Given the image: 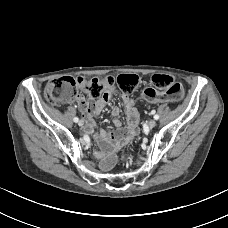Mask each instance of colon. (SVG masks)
Returning a JSON list of instances; mask_svg holds the SVG:
<instances>
[{
	"mask_svg": "<svg viewBox=\"0 0 228 228\" xmlns=\"http://www.w3.org/2000/svg\"><path fill=\"white\" fill-rule=\"evenodd\" d=\"M138 76L135 74H121L117 77V84L124 94L132 93L138 85ZM154 88H147L142 93V99L147 102H177L183 97V87L177 83L171 75L156 74L151 79ZM114 79L81 77H61L53 79L46 85L45 99L53 104H64L80 99V91L89 95L92 99L100 98L105 92L114 86ZM122 160L126 156H122Z\"/></svg>",
	"mask_w": 228,
	"mask_h": 228,
	"instance_id": "1",
	"label": "colon"
}]
</instances>
